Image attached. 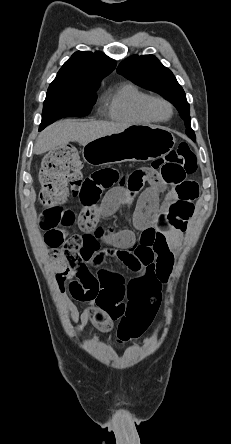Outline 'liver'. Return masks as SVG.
Here are the masks:
<instances>
[{
  "instance_id": "liver-1",
  "label": "liver",
  "mask_w": 231,
  "mask_h": 444,
  "mask_svg": "<svg viewBox=\"0 0 231 444\" xmlns=\"http://www.w3.org/2000/svg\"><path fill=\"white\" fill-rule=\"evenodd\" d=\"M129 126V124L106 121L61 120L40 133L34 146V153L43 154L58 147H65L73 141L85 146L97 138L120 133Z\"/></svg>"
}]
</instances>
